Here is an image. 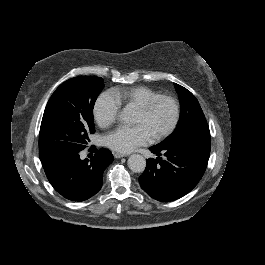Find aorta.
I'll return each instance as SVG.
<instances>
[{"label":"aorta","instance_id":"762f6f07","mask_svg":"<svg viewBox=\"0 0 265 265\" xmlns=\"http://www.w3.org/2000/svg\"><path fill=\"white\" fill-rule=\"evenodd\" d=\"M128 167L136 173L143 172L146 166L145 158L140 154H131L127 160Z\"/></svg>","mask_w":265,"mask_h":265}]
</instances>
